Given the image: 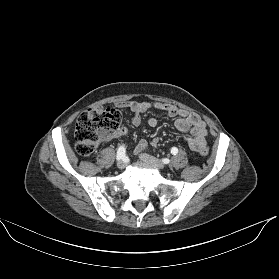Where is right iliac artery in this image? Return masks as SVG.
<instances>
[{
	"label": "right iliac artery",
	"mask_w": 279,
	"mask_h": 279,
	"mask_svg": "<svg viewBox=\"0 0 279 279\" xmlns=\"http://www.w3.org/2000/svg\"><path fill=\"white\" fill-rule=\"evenodd\" d=\"M126 149L124 146H120L117 151L116 159L119 161L125 157Z\"/></svg>",
	"instance_id": "1"
}]
</instances>
